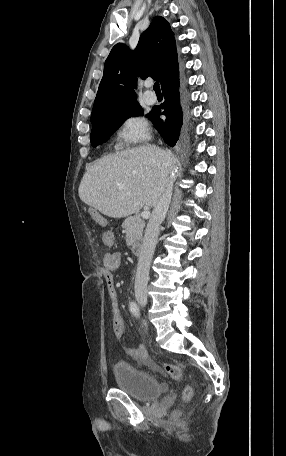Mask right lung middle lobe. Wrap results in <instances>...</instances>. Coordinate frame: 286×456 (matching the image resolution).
I'll return each instance as SVG.
<instances>
[{
  "instance_id": "dd1d6c3e",
  "label": "right lung middle lobe",
  "mask_w": 286,
  "mask_h": 456,
  "mask_svg": "<svg viewBox=\"0 0 286 456\" xmlns=\"http://www.w3.org/2000/svg\"><path fill=\"white\" fill-rule=\"evenodd\" d=\"M142 114V108L139 103L118 107L107 111L95 120L91 121L93 124L91 132V143L96 147L103 142H106L109 137L125 122L126 119ZM151 113L148 114V118Z\"/></svg>"
}]
</instances>
